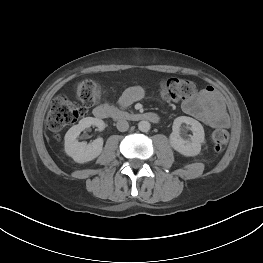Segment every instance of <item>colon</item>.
<instances>
[{
	"label": "colon",
	"instance_id": "5ec220e1",
	"mask_svg": "<svg viewBox=\"0 0 263 263\" xmlns=\"http://www.w3.org/2000/svg\"><path fill=\"white\" fill-rule=\"evenodd\" d=\"M197 86L193 81L183 78H168L161 82L160 93L166 101H186L196 95ZM79 105L64 96L54 98L47 115V125L55 133L64 127L75 123L86 112V107L98 103L102 97L101 86L93 80H84L75 88ZM216 150H221L227 144L229 135L224 129H217L210 136Z\"/></svg>",
	"mask_w": 263,
	"mask_h": 263
}]
</instances>
